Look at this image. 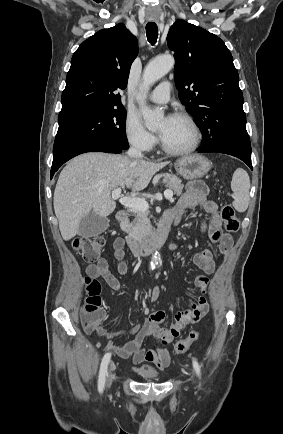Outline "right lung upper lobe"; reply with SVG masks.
Masks as SVG:
<instances>
[{
    "label": "right lung upper lobe",
    "instance_id": "cb5924a9",
    "mask_svg": "<svg viewBox=\"0 0 283 434\" xmlns=\"http://www.w3.org/2000/svg\"><path fill=\"white\" fill-rule=\"evenodd\" d=\"M137 54L136 37L121 23L82 42L71 59L59 116L123 107L118 91L126 88Z\"/></svg>",
    "mask_w": 283,
    "mask_h": 434
}]
</instances>
